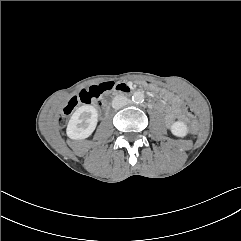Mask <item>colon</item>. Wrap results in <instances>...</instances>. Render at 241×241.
<instances>
[{
    "instance_id": "colon-1",
    "label": "colon",
    "mask_w": 241,
    "mask_h": 241,
    "mask_svg": "<svg viewBox=\"0 0 241 241\" xmlns=\"http://www.w3.org/2000/svg\"><path fill=\"white\" fill-rule=\"evenodd\" d=\"M106 83V84H105ZM102 84L92 85L84 90H82L78 96L72 98L66 106L63 108L60 116V123L63 124L68 116H70L80 105L90 104L92 102L99 101L100 97L111 90L113 83L105 82ZM183 115L185 118L189 119V132H198V117L195 116L194 110L191 106L186 105L183 108Z\"/></svg>"
}]
</instances>
